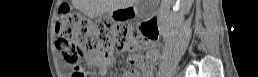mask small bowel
<instances>
[{
	"label": "small bowel",
	"mask_w": 258,
	"mask_h": 77,
	"mask_svg": "<svg viewBox=\"0 0 258 77\" xmlns=\"http://www.w3.org/2000/svg\"><path fill=\"white\" fill-rule=\"evenodd\" d=\"M87 62L96 65L100 72H106L107 69L115 64V55L111 52L106 54L88 53ZM158 58V51L151 48L145 57V64L142 66V71L128 72L127 77H149L152 74L150 65L156 62Z\"/></svg>",
	"instance_id": "c3829d8e"
}]
</instances>
